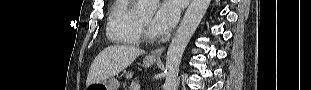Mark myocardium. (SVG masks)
<instances>
[{"mask_svg": "<svg viewBox=\"0 0 311 90\" xmlns=\"http://www.w3.org/2000/svg\"><path fill=\"white\" fill-rule=\"evenodd\" d=\"M139 26H140L141 37L144 40L148 42H152L156 40L157 35L150 29L149 25L146 24L141 18H139Z\"/></svg>", "mask_w": 311, "mask_h": 90, "instance_id": "myocardium-1", "label": "myocardium"}]
</instances>
